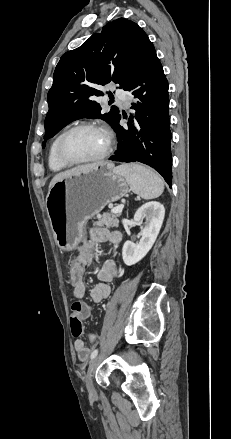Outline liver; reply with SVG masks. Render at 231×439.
<instances>
[{
	"label": "liver",
	"mask_w": 231,
	"mask_h": 439,
	"mask_svg": "<svg viewBox=\"0 0 231 439\" xmlns=\"http://www.w3.org/2000/svg\"><path fill=\"white\" fill-rule=\"evenodd\" d=\"M98 164L99 163H91V164L81 165V166L74 167L72 169H69V170H66L64 172L56 174L52 178V180H51V182L49 184V191L54 186V184L57 183L58 181H61V180L65 179L66 177H69L71 175H74V174H77V173L84 172V171H87L89 169H92L93 167L97 166Z\"/></svg>",
	"instance_id": "1"
}]
</instances>
